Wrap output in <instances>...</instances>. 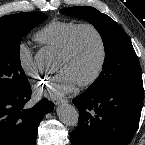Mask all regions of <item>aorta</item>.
<instances>
[{"label":"aorta","instance_id":"obj_1","mask_svg":"<svg viewBox=\"0 0 145 145\" xmlns=\"http://www.w3.org/2000/svg\"><path fill=\"white\" fill-rule=\"evenodd\" d=\"M35 62L40 68H48L52 63L50 53L46 50L39 51L35 56ZM57 115L60 121L67 126L74 127L78 124V110L68 103H64L58 107Z\"/></svg>","mask_w":145,"mask_h":145}]
</instances>
